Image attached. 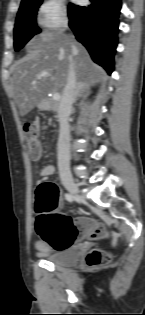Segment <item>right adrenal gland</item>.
<instances>
[{"label": "right adrenal gland", "instance_id": "2a0ac1e0", "mask_svg": "<svg viewBox=\"0 0 145 315\" xmlns=\"http://www.w3.org/2000/svg\"><path fill=\"white\" fill-rule=\"evenodd\" d=\"M86 90V85L82 82L77 83V88L75 91V96H74V103L76 102L78 97H81L83 92Z\"/></svg>", "mask_w": 145, "mask_h": 315}]
</instances>
